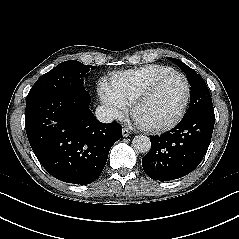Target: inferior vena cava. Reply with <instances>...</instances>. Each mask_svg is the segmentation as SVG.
I'll use <instances>...</instances> for the list:
<instances>
[{
  "label": "inferior vena cava",
  "instance_id": "obj_1",
  "mask_svg": "<svg viewBox=\"0 0 239 239\" xmlns=\"http://www.w3.org/2000/svg\"><path fill=\"white\" fill-rule=\"evenodd\" d=\"M95 116L102 123H110L115 120L116 117L114 111L104 105L96 108Z\"/></svg>",
  "mask_w": 239,
  "mask_h": 239
}]
</instances>
